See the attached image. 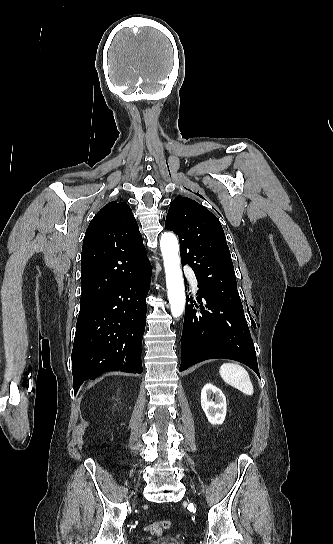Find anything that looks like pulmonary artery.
Returning <instances> with one entry per match:
<instances>
[{"label": "pulmonary artery", "instance_id": "1", "mask_svg": "<svg viewBox=\"0 0 333 544\" xmlns=\"http://www.w3.org/2000/svg\"><path fill=\"white\" fill-rule=\"evenodd\" d=\"M185 273H186V276L188 277V279L190 280L191 284L194 287H197V280H196V277H195V274H194L193 270L190 269V268H186Z\"/></svg>", "mask_w": 333, "mask_h": 544}]
</instances>
